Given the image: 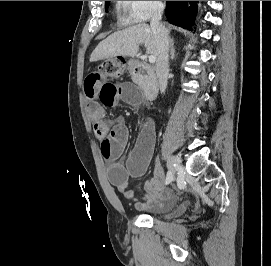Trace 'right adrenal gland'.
I'll return each instance as SVG.
<instances>
[{"label":"right adrenal gland","instance_id":"1","mask_svg":"<svg viewBox=\"0 0 271 266\" xmlns=\"http://www.w3.org/2000/svg\"><path fill=\"white\" fill-rule=\"evenodd\" d=\"M175 57V48H174V40L173 38L170 39V58L173 60Z\"/></svg>","mask_w":271,"mask_h":266}]
</instances>
